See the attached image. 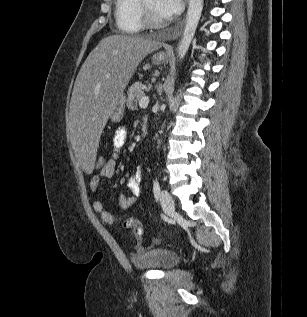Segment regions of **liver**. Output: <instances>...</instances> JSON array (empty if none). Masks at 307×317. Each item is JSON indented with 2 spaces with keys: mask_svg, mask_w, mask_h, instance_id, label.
Masks as SVG:
<instances>
[{
  "mask_svg": "<svg viewBox=\"0 0 307 317\" xmlns=\"http://www.w3.org/2000/svg\"><path fill=\"white\" fill-rule=\"evenodd\" d=\"M161 43L142 36L109 35L91 51L72 92L68 131L83 175H92L101 133L116 101L142 60Z\"/></svg>",
  "mask_w": 307,
  "mask_h": 317,
  "instance_id": "liver-1",
  "label": "liver"
}]
</instances>
